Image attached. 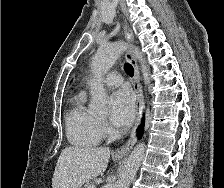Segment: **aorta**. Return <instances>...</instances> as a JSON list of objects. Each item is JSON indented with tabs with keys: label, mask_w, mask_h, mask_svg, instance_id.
Returning a JSON list of instances; mask_svg holds the SVG:
<instances>
[{
	"label": "aorta",
	"mask_w": 224,
	"mask_h": 188,
	"mask_svg": "<svg viewBox=\"0 0 224 188\" xmlns=\"http://www.w3.org/2000/svg\"><path fill=\"white\" fill-rule=\"evenodd\" d=\"M126 49L124 42H113L101 45L91 61L93 79L91 85V103L90 109L103 113L108 109L109 99L101 82L102 77L112 68L122 52ZM135 57L141 63V71L146 85L150 83L149 68L145 63V58L137 48L134 50ZM145 153V145L140 143L129 155L115 188H128L134 176L136 175L142 158Z\"/></svg>",
	"instance_id": "aorta-1"
}]
</instances>
